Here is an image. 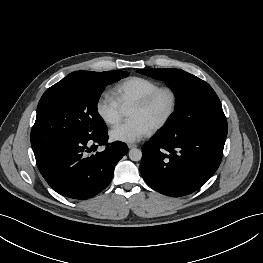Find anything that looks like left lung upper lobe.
Returning a JSON list of instances; mask_svg holds the SVG:
<instances>
[{
	"mask_svg": "<svg viewBox=\"0 0 263 263\" xmlns=\"http://www.w3.org/2000/svg\"><path fill=\"white\" fill-rule=\"evenodd\" d=\"M138 72L165 80L176 95L175 112L163 132L188 134L227 128L221 102L205 81L180 69H141Z\"/></svg>",
	"mask_w": 263,
	"mask_h": 263,
	"instance_id": "5c2ea615",
	"label": "left lung upper lobe"
}]
</instances>
